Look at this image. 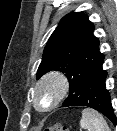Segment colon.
Returning <instances> with one entry per match:
<instances>
[{
    "label": "colon",
    "mask_w": 117,
    "mask_h": 131,
    "mask_svg": "<svg viewBox=\"0 0 117 131\" xmlns=\"http://www.w3.org/2000/svg\"><path fill=\"white\" fill-rule=\"evenodd\" d=\"M43 131H70L68 127L61 124H54L46 127Z\"/></svg>",
    "instance_id": "5ec220e1"
}]
</instances>
